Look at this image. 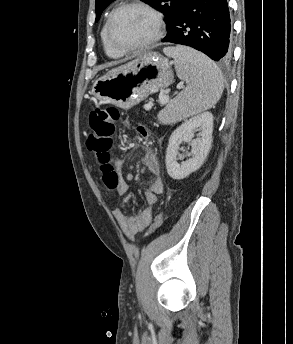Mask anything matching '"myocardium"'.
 <instances>
[{"instance_id": "1", "label": "myocardium", "mask_w": 293, "mask_h": 344, "mask_svg": "<svg viewBox=\"0 0 293 344\" xmlns=\"http://www.w3.org/2000/svg\"><path fill=\"white\" fill-rule=\"evenodd\" d=\"M127 8H139L146 11L153 18L154 21V32L153 34L144 42L130 47H124L117 44L113 38L112 27L114 20L119 12ZM164 34V19L162 14L152 7L151 5L140 1V0H129L118 7H116L109 15L106 25V37L109 45L117 52L126 54L145 50L158 42Z\"/></svg>"}]
</instances>
